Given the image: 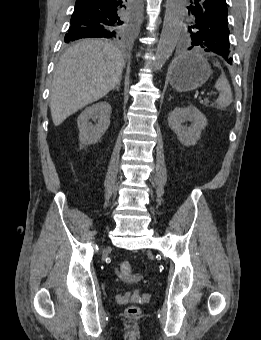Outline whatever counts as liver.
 Masks as SVG:
<instances>
[{
	"instance_id": "obj_1",
	"label": "liver",
	"mask_w": 261,
	"mask_h": 340,
	"mask_svg": "<svg viewBox=\"0 0 261 340\" xmlns=\"http://www.w3.org/2000/svg\"><path fill=\"white\" fill-rule=\"evenodd\" d=\"M124 65L123 53L102 40H83L67 49L56 66L50 89L54 125L59 126L115 88Z\"/></svg>"
}]
</instances>
